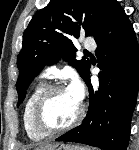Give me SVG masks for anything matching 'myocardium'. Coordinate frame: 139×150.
<instances>
[{
	"instance_id": "obj_1",
	"label": "myocardium",
	"mask_w": 139,
	"mask_h": 150,
	"mask_svg": "<svg viewBox=\"0 0 139 150\" xmlns=\"http://www.w3.org/2000/svg\"><path fill=\"white\" fill-rule=\"evenodd\" d=\"M66 89L67 88L64 85H60V84L48 85L45 87V89L41 92V94L37 98L32 111V124L34 129L38 133L48 136V135L66 132L76 127L83 119L85 113V107L82 103H80L79 110L76 116L67 125L61 127H50L44 123L42 118V113L47 100L55 92L66 90Z\"/></svg>"
}]
</instances>
